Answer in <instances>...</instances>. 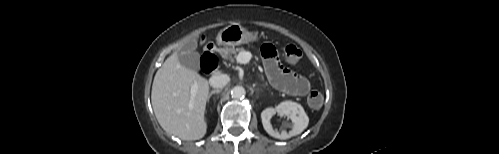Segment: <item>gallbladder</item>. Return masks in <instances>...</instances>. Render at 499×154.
<instances>
[{
  "instance_id": "1",
  "label": "gallbladder",
  "mask_w": 499,
  "mask_h": 154,
  "mask_svg": "<svg viewBox=\"0 0 499 154\" xmlns=\"http://www.w3.org/2000/svg\"><path fill=\"white\" fill-rule=\"evenodd\" d=\"M197 48V41L195 39H189L184 44L183 50L178 54V59L181 65L184 67L198 71L200 67V56L199 53L195 51Z\"/></svg>"
}]
</instances>
